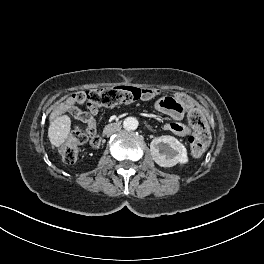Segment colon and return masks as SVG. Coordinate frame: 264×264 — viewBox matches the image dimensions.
<instances>
[{
    "label": "colon",
    "instance_id": "5ec220e1",
    "mask_svg": "<svg viewBox=\"0 0 264 264\" xmlns=\"http://www.w3.org/2000/svg\"><path fill=\"white\" fill-rule=\"evenodd\" d=\"M143 96V91L127 86L104 87L79 91L67 99V104L75 106L86 104L88 107H115L120 104H130ZM188 122L194 131L189 138L191 152L194 156H201L208 148L211 135L207 127L206 118L198 108H192L188 112ZM90 140L88 130L75 128L69 139L60 147L59 151L63 160L68 164H74L78 160L80 146Z\"/></svg>",
    "mask_w": 264,
    "mask_h": 264
}]
</instances>
